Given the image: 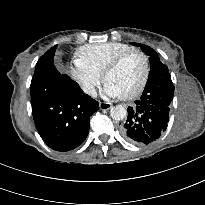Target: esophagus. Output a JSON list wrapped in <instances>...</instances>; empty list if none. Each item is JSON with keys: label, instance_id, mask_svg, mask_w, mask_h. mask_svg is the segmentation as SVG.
Here are the masks:
<instances>
[{"label": "esophagus", "instance_id": "1", "mask_svg": "<svg viewBox=\"0 0 205 205\" xmlns=\"http://www.w3.org/2000/svg\"><path fill=\"white\" fill-rule=\"evenodd\" d=\"M112 107V105L110 103L107 102H100L99 103V108L101 110H109Z\"/></svg>", "mask_w": 205, "mask_h": 205}]
</instances>
